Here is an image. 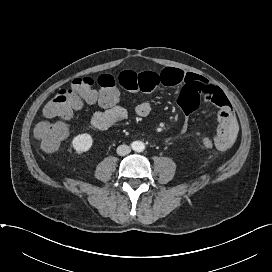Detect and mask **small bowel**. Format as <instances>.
<instances>
[{
	"label": "small bowel",
	"instance_id": "1",
	"mask_svg": "<svg viewBox=\"0 0 272 272\" xmlns=\"http://www.w3.org/2000/svg\"><path fill=\"white\" fill-rule=\"evenodd\" d=\"M120 86L128 91H142L151 93L162 87H180L178 104L184 116V121L178 135L185 134L188 118L197 110L202 101L210 102L218 108V128L213 138L214 147L218 150H228L235 143L239 133V123L233 107L216 85L196 74L187 73L175 68H165L159 72L126 70L118 76ZM151 105L147 101L139 102L135 112L140 117H146L151 112ZM127 117V110L117 104L94 113L91 124L98 130H107ZM171 138L165 139L169 143Z\"/></svg>",
	"mask_w": 272,
	"mask_h": 272
}]
</instances>
